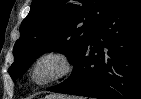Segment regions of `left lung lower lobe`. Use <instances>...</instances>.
<instances>
[{"instance_id": "left-lung-lower-lobe-1", "label": "left lung lower lobe", "mask_w": 141, "mask_h": 99, "mask_svg": "<svg viewBox=\"0 0 141 99\" xmlns=\"http://www.w3.org/2000/svg\"><path fill=\"white\" fill-rule=\"evenodd\" d=\"M49 90L98 99H141V0H117L70 77Z\"/></svg>"}]
</instances>
